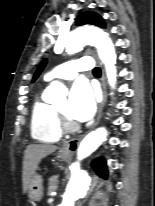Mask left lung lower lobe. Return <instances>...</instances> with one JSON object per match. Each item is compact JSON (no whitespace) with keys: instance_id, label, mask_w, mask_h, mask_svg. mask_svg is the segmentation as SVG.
<instances>
[{"instance_id":"1","label":"left lung lower lobe","mask_w":155,"mask_h":206,"mask_svg":"<svg viewBox=\"0 0 155 206\" xmlns=\"http://www.w3.org/2000/svg\"><path fill=\"white\" fill-rule=\"evenodd\" d=\"M92 165L99 175H101L103 178H107V169H106L105 161L103 159L100 158L94 160Z\"/></svg>"}]
</instances>
